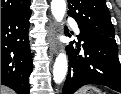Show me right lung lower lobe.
<instances>
[{"mask_svg":"<svg viewBox=\"0 0 121 94\" xmlns=\"http://www.w3.org/2000/svg\"><path fill=\"white\" fill-rule=\"evenodd\" d=\"M30 7L1 17V84L18 94H29L33 69L28 30Z\"/></svg>","mask_w":121,"mask_h":94,"instance_id":"1","label":"right lung lower lobe"}]
</instances>
